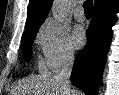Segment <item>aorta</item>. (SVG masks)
<instances>
[{"instance_id": "aorta-1", "label": "aorta", "mask_w": 119, "mask_h": 95, "mask_svg": "<svg viewBox=\"0 0 119 95\" xmlns=\"http://www.w3.org/2000/svg\"><path fill=\"white\" fill-rule=\"evenodd\" d=\"M69 8L68 0H54L51 9L53 18L59 22L63 21L68 15Z\"/></svg>"}]
</instances>
